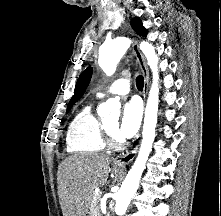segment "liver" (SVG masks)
I'll list each match as a JSON object with an SVG mask.
<instances>
[{
	"instance_id": "1",
	"label": "liver",
	"mask_w": 221,
	"mask_h": 216,
	"mask_svg": "<svg viewBox=\"0 0 221 216\" xmlns=\"http://www.w3.org/2000/svg\"><path fill=\"white\" fill-rule=\"evenodd\" d=\"M111 158L98 154H74L58 169V195L63 216H86L94 190L105 184Z\"/></svg>"
}]
</instances>
